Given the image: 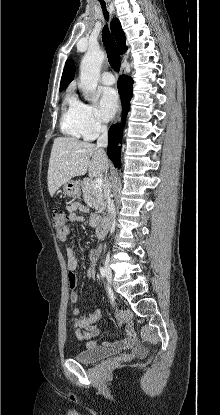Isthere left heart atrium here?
Returning <instances> with one entry per match:
<instances>
[{"mask_svg":"<svg viewBox=\"0 0 220 415\" xmlns=\"http://www.w3.org/2000/svg\"><path fill=\"white\" fill-rule=\"evenodd\" d=\"M119 105L118 95L113 88L103 87L99 90L98 115L109 121L116 113Z\"/></svg>","mask_w":220,"mask_h":415,"instance_id":"39dd6f15","label":"left heart atrium"}]
</instances>
